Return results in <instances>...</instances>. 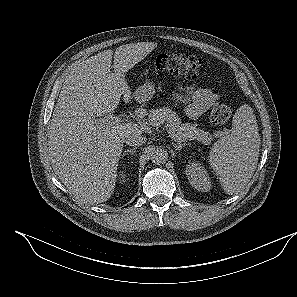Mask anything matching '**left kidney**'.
I'll use <instances>...</instances> for the list:
<instances>
[{
	"mask_svg": "<svg viewBox=\"0 0 297 297\" xmlns=\"http://www.w3.org/2000/svg\"><path fill=\"white\" fill-rule=\"evenodd\" d=\"M186 176L192 187L201 192L210 191L212 184L207 171L198 162H190L186 166Z\"/></svg>",
	"mask_w": 297,
	"mask_h": 297,
	"instance_id": "obj_1",
	"label": "left kidney"
}]
</instances>
